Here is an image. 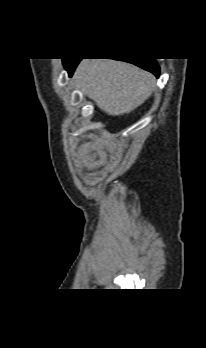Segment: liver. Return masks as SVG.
I'll return each mask as SVG.
<instances>
[{
    "instance_id": "6515ba94",
    "label": "liver",
    "mask_w": 206,
    "mask_h": 348,
    "mask_svg": "<svg viewBox=\"0 0 206 348\" xmlns=\"http://www.w3.org/2000/svg\"><path fill=\"white\" fill-rule=\"evenodd\" d=\"M84 94L109 115L130 113L155 90V77L134 65L107 59H84L74 73Z\"/></svg>"
}]
</instances>
